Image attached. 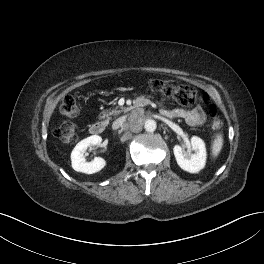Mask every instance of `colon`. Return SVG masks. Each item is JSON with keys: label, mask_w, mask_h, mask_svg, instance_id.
I'll return each instance as SVG.
<instances>
[{"label": "colon", "mask_w": 264, "mask_h": 264, "mask_svg": "<svg viewBox=\"0 0 264 264\" xmlns=\"http://www.w3.org/2000/svg\"><path fill=\"white\" fill-rule=\"evenodd\" d=\"M150 87L184 106L192 105L198 98L196 91L192 87L179 84L172 80H152L150 82ZM202 99L205 100V97H202ZM209 111L213 128H219L222 122L217 107L214 104H210ZM60 112L68 117L77 116L79 113V106L76 97L73 95L65 96L60 104ZM54 135L60 141L68 144L75 142L77 139L75 125L71 122L61 124L55 129Z\"/></svg>", "instance_id": "obj_1"}]
</instances>
